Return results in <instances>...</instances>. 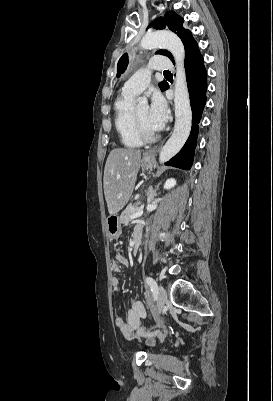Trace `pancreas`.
I'll return each instance as SVG.
<instances>
[{"instance_id": "obj_1", "label": "pancreas", "mask_w": 273, "mask_h": 401, "mask_svg": "<svg viewBox=\"0 0 273 401\" xmlns=\"http://www.w3.org/2000/svg\"><path fill=\"white\" fill-rule=\"evenodd\" d=\"M138 205H141V203H136V205H128L125 211L121 213L119 221L122 223V225H129V223L133 221V219H130V217L131 215H134V213H137L136 209H138Z\"/></svg>"}]
</instances>
